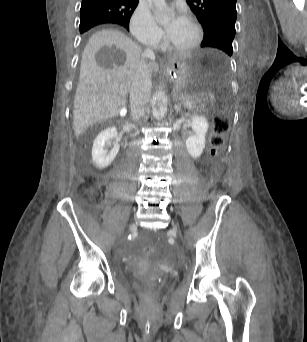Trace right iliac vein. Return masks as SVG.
Returning <instances> with one entry per match:
<instances>
[{
  "instance_id": "63e3f726",
  "label": "right iliac vein",
  "mask_w": 307,
  "mask_h": 342,
  "mask_svg": "<svg viewBox=\"0 0 307 342\" xmlns=\"http://www.w3.org/2000/svg\"><path fill=\"white\" fill-rule=\"evenodd\" d=\"M133 228H136V224L134 222H131L130 223V226H129V229H133Z\"/></svg>"
}]
</instances>
